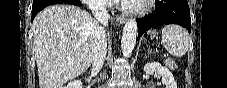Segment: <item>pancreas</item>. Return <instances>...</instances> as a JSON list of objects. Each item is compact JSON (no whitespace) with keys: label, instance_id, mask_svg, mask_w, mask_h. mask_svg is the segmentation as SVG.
<instances>
[{"label":"pancreas","instance_id":"1","mask_svg":"<svg viewBox=\"0 0 227 88\" xmlns=\"http://www.w3.org/2000/svg\"><path fill=\"white\" fill-rule=\"evenodd\" d=\"M165 64L172 70H175L177 68V65L173 59H166Z\"/></svg>","mask_w":227,"mask_h":88}]
</instances>
